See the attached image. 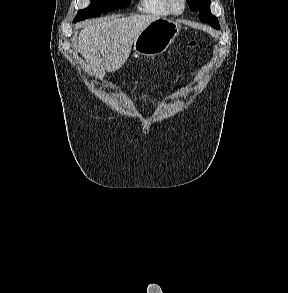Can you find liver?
<instances>
[{
    "mask_svg": "<svg viewBox=\"0 0 288 293\" xmlns=\"http://www.w3.org/2000/svg\"><path fill=\"white\" fill-rule=\"evenodd\" d=\"M157 19L159 16L155 14L132 15L98 20L83 28L76 48L86 60V71L103 79L105 71L120 69L127 61L136 37Z\"/></svg>",
    "mask_w": 288,
    "mask_h": 293,
    "instance_id": "1",
    "label": "liver"
}]
</instances>
